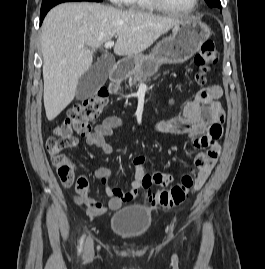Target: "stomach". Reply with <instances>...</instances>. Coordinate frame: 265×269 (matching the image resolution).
<instances>
[{
	"label": "stomach",
	"instance_id": "stomach-1",
	"mask_svg": "<svg viewBox=\"0 0 265 269\" xmlns=\"http://www.w3.org/2000/svg\"><path fill=\"white\" fill-rule=\"evenodd\" d=\"M210 35L207 24L194 19L182 20L172 28V34L160 41L149 55L128 57L122 65L133 73L150 77L162 64H179L189 60Z\"/></svg>",
	"mask_w": 265,
	"mask_h": 269
}]
</instances>
